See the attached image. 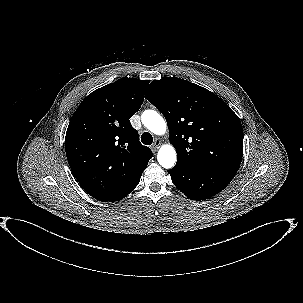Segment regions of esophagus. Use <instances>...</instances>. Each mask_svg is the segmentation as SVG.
Returning <instances> with one entry per match:
<instances>
[{"instance_id": "esophagus-1", "label": "esophagus", "mask_w": 303, "mask_h": 303, "mask_svg": "<svg viewBox=\"0 0 303 303\" xmlns=\"http://www.w3.org/2000/svg\"><path fill=\"white\" fill-rule=\"evenodd\" d=\"M160 145H161V140L160 139H156L155 142H154V144L151 147L152 151L156 152L159 149Z\"/></svg>"}]
</instances>
